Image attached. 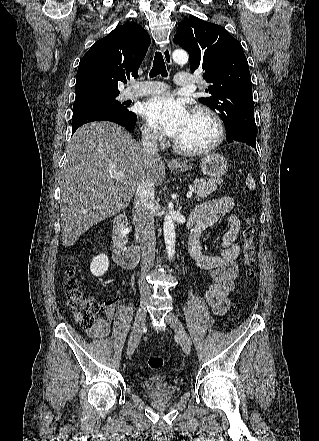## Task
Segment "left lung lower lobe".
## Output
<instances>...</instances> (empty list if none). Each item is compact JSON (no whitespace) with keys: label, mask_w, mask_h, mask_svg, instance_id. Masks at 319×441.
Here are the masks:
<instances>
[{"label":"left lung lower lobe","mask_w":319,"mask_h":441,"mask_svg":"<svg viewBox=\"0 0 319 441\" xmlns=\"http://www.w3.org/2000/svg\"><path fill=\"white\" fill-rule=\"evenodd\" d=\"M226 138H227L228 143H231L233 141H238V142L246 143V144L256 148V144H255L256 132H252V131L246 130V129H241V130L234 132L230 136H227Z\"/></svg>","instance_id":"obj_1"}]
</instances>
